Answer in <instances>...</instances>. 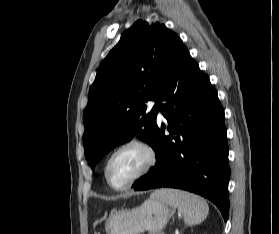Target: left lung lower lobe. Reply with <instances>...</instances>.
Listing matches in <instances>:
<instances>
[{"label": "left lung lower lobe", "mask_w": 279, "mask_h": 234, "mask_svg": "<svg viewBox=\"0 0 279 234\" xmlns=\"http://www.w3.org/2000/svg\"><path fill=\"white\" fill-rule=\"evenodd\" d=\"M162 102V104H158ZM156 112L167 120L157 126L156 165L133 184L135 190L174 187L211 200L226 221L229 213L227 130L224 110L209 77L184 46L158 95Z\"/></svg>", "instance_id": "left-lung-lower-lobe-1"}]
</instances>
